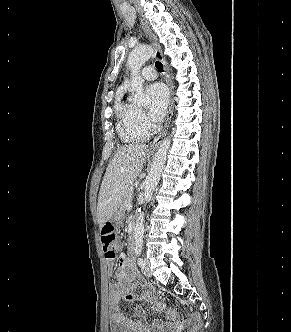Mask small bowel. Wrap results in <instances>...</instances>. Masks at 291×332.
<instances>
[{
	"instance_id": "1",
	"label": "small bowel",
	"mask_w": 291,
	"mask_h": 332,
	"mask_svg": "<svg viewBox=\"0 0 291 332\" xmlns=\"http://www.w3.org/2000/svg\"><path fill=\"white\" fill-rule=\"evenodd\" d=\"M109 271L113 269V261H108ZM137 272L133 260L125 254H121L119 264L115 271V281L110 285V329L111 332H163L170 327L176 320L175 311L168 309L161 302L155 293L146 285H143V293L137 297L136 291ZM121 300H138L140 304L136 307L135 313L138 320H131L125 317L120 311ZM144 303H150L154 311L166 310V320H156L150 326L145 319Z\"/></svg>"
}]
</instances>
